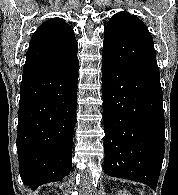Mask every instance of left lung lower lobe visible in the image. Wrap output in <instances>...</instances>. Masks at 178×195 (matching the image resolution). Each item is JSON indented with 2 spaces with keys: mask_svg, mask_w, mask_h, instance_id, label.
Returning <instances> with one entry per match:
<instances>
[{
  "mask_svg": "<svg viewBox=\"0 0 178 195\" xmlns=\"http://www.w3.org/2000/svg\"><path fill=\"white\" fill-rule=\"evenodd\" d=\"M104 172L156 190L164 158L159 80L102 57Z\"/></svg>",
  "mask_w": 178,
  "mask_h": 195,
  "instance_id": "left-lung-lower-lobe-1",
  "label": "left lung lower lobe"
}]
</instances>
